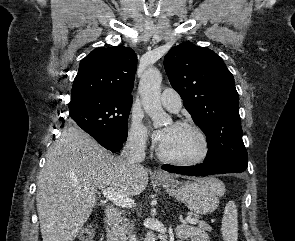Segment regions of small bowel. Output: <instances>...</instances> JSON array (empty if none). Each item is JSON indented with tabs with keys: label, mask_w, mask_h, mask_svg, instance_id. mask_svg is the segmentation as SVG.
I'll list each match as a JSON object with an SVG mask.
<instances>
[{
	"label": "small bowel",
	"mask_w": 295,
	"mask_h": 241,
	"mask_svg": "<svg viewBox=\"0 0 295 241\" xmlns=\"http://www.w3.org/2000/svg\"><path fill=\"white\" fill-rule=\"evenodd\" d=\"M177 233L180 241H208L207 236L204 232L192 227H179Z\"/></svg>",
	"instance_id": "c3829d8e"
}]
</instances>
